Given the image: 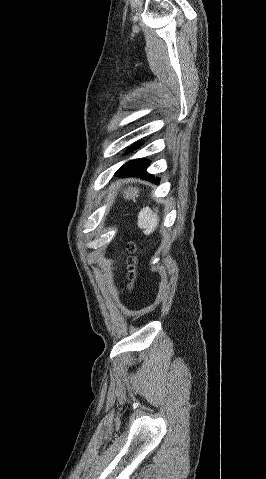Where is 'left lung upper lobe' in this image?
Here are the masks:
<instances>
[{
	"label": "left lung upper lobe",
	"mask_w": 266,
	"mask_h": 479,
	"mask_svg": "<svg viewBox=\"0 0 266 479\" xmlns=\"http://www.w3.org/2000/svg\"><path fill=\"white\" fill-rule=\"evenodd\" d=\"M137 146L138 145H133L128 151H132L133 149L137 148ZM145 161H146V159L131 160L128 163L124 164L118 171H124L128 168H131V167H138Z\"/></svg>",
	"instance_id": "5c2ea615"
}]
</instances>
